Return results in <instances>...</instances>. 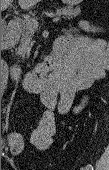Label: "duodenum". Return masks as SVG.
<instances>
[{
    "label": "duodenum",
    "mask_w": 109,
    "mask_h": 170,
    "mask_svg": "<svg viewBox=\"0 0 109 170\" xmlns=\"http://www.w3.org/2000/svg\"><path fill=\"white\" fill-rule=\"evenodd\" d=\"M10 46V40L8 35L5 36V41L3 44L4 48ZM72 49V45L68 39H60L56 46V55L48 60L39 63L35 69L27 75L26 85L31 91H46L50 87V82L47 79V73L53 68L55 61L61 56V54H66ZM71 60V59H69Z\"/></svg>",
    "instance_id": "obj_1"
}]
</instances>
